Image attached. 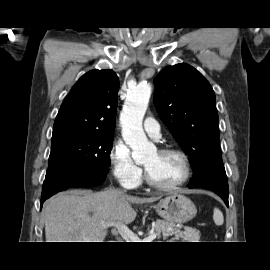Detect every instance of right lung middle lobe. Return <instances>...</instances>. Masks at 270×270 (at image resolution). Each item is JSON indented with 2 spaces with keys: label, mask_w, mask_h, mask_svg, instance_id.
<instances>
[{
  "label": "right lung middle lobe",
  "mask_w": 270,
  "mask_h": 270,
  "mask_svg": "<svg viewBox=\"0 0 270 270\" xmlns=\"http://www.w3.org/2000/svg\"><path fill=\"white\" fill-rule=\"evenodd\" d=\"M112 143L113 133L73 129L53 131L46 175L67 167L89 174L107 173Z\"/></svg>",
  "instance_id": "1"
}]
</instances>
